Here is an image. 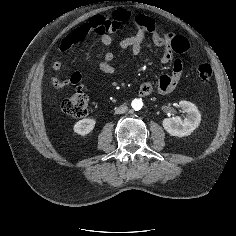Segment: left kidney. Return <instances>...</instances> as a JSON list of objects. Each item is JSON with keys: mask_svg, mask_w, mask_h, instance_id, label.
I'll list each match as a JSON object with an SVG mask.
<instances>
[{"mask_svg": "<svg viewBox=\"0 0 236 236\" xmlns=\"http://www.w3.org/2000/svg\"><path fill=\"white\" fill-rule=\"evenodd\" d=\"M179 106L187 117L166 118L163 120L164 129L172 136L184 137L190 135L200 124L201 114L195 104L188 101H180Z\"/></svg>", "mask_w": 236, "mask_h": 236, "instance_id": "5707ae66", "label": "left kidney"}]
</instances>
